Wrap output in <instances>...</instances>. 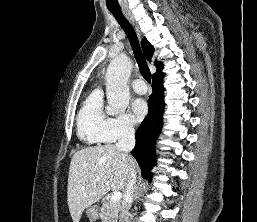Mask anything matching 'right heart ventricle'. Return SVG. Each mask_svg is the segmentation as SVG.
<instances>
[{
    "label": "right heart ventricle",
    "instance_id": "obj_1",
    "mask_svg": "<svg viewBox=\"0 0 257 222\" xmlns=\"http://www.w3.org/2000/svg\"><path fill=\"white\" fill-rule=\"evenodd\" d=\"M109 117L103 106L100 90L93 91L84 101L77 116L78 137L88 145L107 142L104 129Z\"/></svg>",
    "mask_w": 257,
    "mask_h": 222
}]
</instances>
